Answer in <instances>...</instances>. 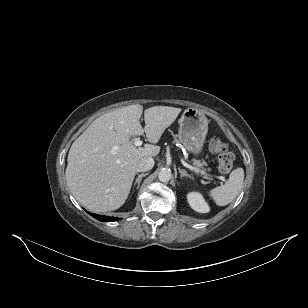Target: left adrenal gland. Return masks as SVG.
Returning a JSON list of instances; mask_svg holds the SVG:
<instances>
[{"label":"left adrenal gland","mask_w":308,"mask_h":308,"mask_svg":"<svg viewBox=\"0 0 308 308\" xmlns=\"http://www.w3.org/2000/svg\"><path fill=\"white\" fill-rule=\"evenodd\" d=\"M179 173L181 175V178L188 177L190 179H193V177L191 175H189L185 169H180L179 168Z\"/></svg>","instance_id":"a2214340"}]
</instances>
